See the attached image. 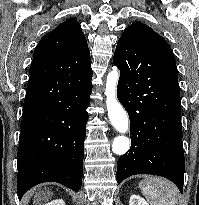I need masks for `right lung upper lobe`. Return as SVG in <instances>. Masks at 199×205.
<instances>
[{
	"mask_svg": "<svg viewBox=\"0 0 199 205\" xmlns=\"http://www.w3.org/2000/svg\"><path fill=\"white\" fill-rule=\"evenodd\" d=\"M29 73V83L41 82L50 88L25 97L23 111L63 94L70 80L92 75L87 41L75 19L64 21L40 40Z\"/></svg>",
	"mask_w": 199,
	"mask_h": 205,
	"instance_id": "obj_1",
	"label": "right lung upper lobe"
}]
</instances>
